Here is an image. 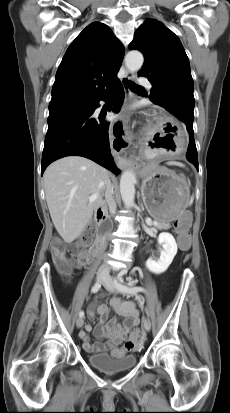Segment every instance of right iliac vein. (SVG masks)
Masks as SVG:
<instances>
[{
    "label": "right iliac vein",
    "mask_w": 230,
    "mask_h": 413,
    "mask_svg": "<svg viewBox=\"0 0 230 413\" xmlns=\"http://www.w3.org/2000/svg\"><path fill=\"white\" fill-rule=\"evenodd\" d=\"M106 277H107V275L105 274V272L99 271L97 273L96 280H97V282H103ZM83 324H84V318L79 317L76 321L77 328H81L83 326Z\"/></svg>",
    "instance_id": "obj_1"
}]
</instances>
